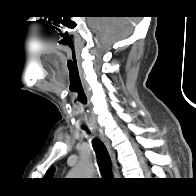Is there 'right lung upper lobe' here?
Wrapping results in <instances>:
<instances>
[{
    "label": "right lung upper lobe",
    "mask_w": 196,
    "mask_h": 196,
    "mask_svg": "<svg viewBox=\"0 0 196 196\" xmlns=\"http://www.w3.org/2000/svg\"><path fill=\"white\" fill-rule=\"evenodd\" d=\"M53 172H54V168H51L47 171V173L45 174L44 178H48L50 179L53 175Z\"/></svg>",
    "instance_id": "obj_1"
}]
</instances>
